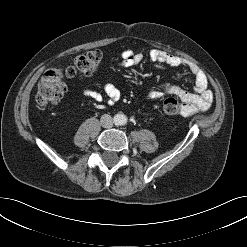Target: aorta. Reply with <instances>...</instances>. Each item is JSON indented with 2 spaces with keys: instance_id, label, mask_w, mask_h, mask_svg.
Returning a JSON list of instances; mask_svg holds the SVG:
<instances>
[{
  "instance_id": "1",
  "label": "aorta",
  "mask_w": 247,
  "mask_h": 247,
  "mask_svg": "<svg viewBox=\"0 0 247 247\" xmlns=\"http://www.w3.org/2000/svg\"><path fill=\"white\" fill-rule=\"evenodd\" d=\"M114 121L117 125H125L127 123V116L124 114H117Z\"/></svg>"
}]
</instances>
